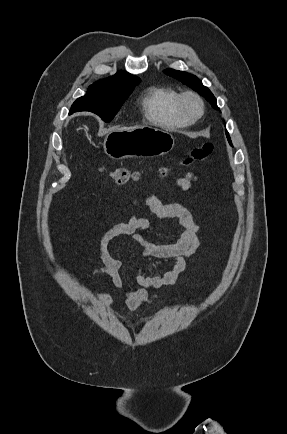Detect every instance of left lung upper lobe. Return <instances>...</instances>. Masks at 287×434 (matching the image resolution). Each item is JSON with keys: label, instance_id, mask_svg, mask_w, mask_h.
Returning a JSON list of instances; mask_svg holds the SVG:
<instances>
[{"label": "left lung upper lobe", "instance_id": "1", "mask_svg": "<svg viewBox=\"0 0 287 434\" xmlns=\"http://www.w3.org/2000/svg\"><path fill=\"white\" fill-rule=\"evenodd\" d=\"M164 73L184 82L190 88L194 89L203 97H205L215 109L219 110L216 104V98L213 96V94L210 92V90L207 87L203 86L202 82L196 76L174 69H166L164 70ZM226 135L229 143L231 144V139L229 137L228 132H226Z\"/></svg>", "mask_w": 287, "mask_h": 434}]
</instances>
